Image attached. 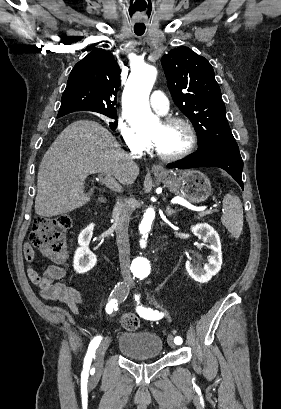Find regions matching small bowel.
<instances>
[{"mask_svg":"<svg viewBox=\"0 0 281 409\" xmlns=\"http://www.w3.org/2000/svg\"><path fill=\"white\" fill-rule=\"evenodd\" d=\"M24 253L28 263L27 274L30 280L36 284L41 296L46 300L57 301L67 306L74 314L83 312L81 305L86 300V295L77 288L65 283L67 270L58 265H50L40 275L31 265L34 258V246L25 243Z\"/></svg>","mask_w":281,"mask_h":409,"instance_id":"1","label":"small bowel"}]
</instances>
